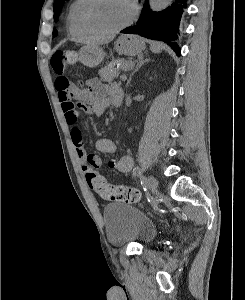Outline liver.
Instances as JSON below:
<instances>
[{
    "label": "liver",
    "instance_id": "liver-1",
    "mask_svg": "<svg viewBox=\"0 0 245 300\" xmlns=\"http://www.w3.org/2000/svg\"><path fill=\"white\" fill-rule=\"evenodd\" d=\"M112 40H113V37L101 38V39L88 38L84 41V43L87 46H98V45H102V44H107V43L111 42Z\"/></svg>",
    "mask_w": 245,
    "mask_h": 300
}]
</instances>
